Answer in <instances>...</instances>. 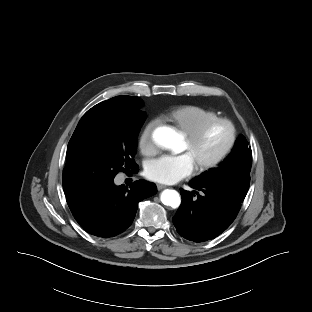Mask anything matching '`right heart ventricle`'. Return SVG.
I'll return each instance as SVG.
<instances>
[{
    "mask_svg": "<svg viewBox=\"0 0 312 312\" xmlns=\"http://www.w3.org/2000/svg\"><path fill=\"white\" fill-rule=\"evenodd\" d=\"M218 117L215 111L196 105H182L168 110L161 115V120L172 124L184 135L189 134L207 121Z\"/></svg>",
    "mask_w": 312,
    "mask_h": 312,
    "instance_id": "e07e8e85",
    "label": "right heart ventricle"
}]
</instances>
